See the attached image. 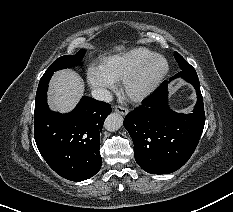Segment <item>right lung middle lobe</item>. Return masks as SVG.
<instances>
[{"instance_id": "right-lung-middle-lobe-1", "label": "right lung middle lobe", "mask_w": 233, "mask_h": 212, "mask_svg": "<svg viewBox=\"0 0 233 212\" xmlns=\"http://www.w3.org/2000/svg\"><path fill=\"white\" fill-rule=\"evenodd\" d=\"M84 54L85 50H80L75 55L62 56L55 60L40 79L36 93V99L47 90L49 80L54 72L60 69L77 66L81 63Z\"/></svg>"}]
</instances>
